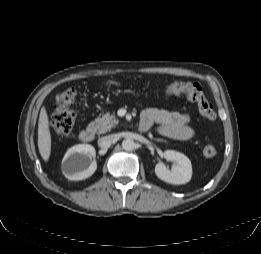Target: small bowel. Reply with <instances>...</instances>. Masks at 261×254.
<instances>
[{
    "mask_svg": "<svg viewBox=\"0 0 261 254\" xmlns=\"http://www.w3.org/2000/svg\"><path fill=\"white\" fill-rule=\"evenodd\" d=\"M191 120L192 116L188 113L150 108L142 113L140 129L146 131L156 124L157 131L161 135L180 141H188L195 134L190 126Z\"/></svg>",
    "mask_w": 261,
    "mask_h": 254,
    "instance_id": "obj_1",
    "label": "small bowel"
}]
</instances>
